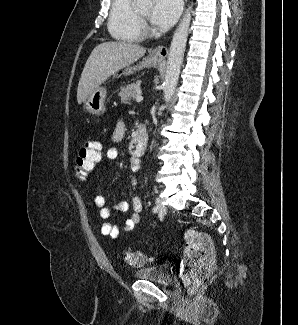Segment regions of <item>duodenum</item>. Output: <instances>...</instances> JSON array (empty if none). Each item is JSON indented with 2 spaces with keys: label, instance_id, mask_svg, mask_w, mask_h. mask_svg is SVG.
<instances>
[{
  "label": "duodenum",
  "instance_id": "duodenum-1",
  "mask_svg": "<svg viewBox=\"0 0 298 325\" xmlns=\"http://www.w3.org/2000/svg\"><path fill=\"white\" fill-rule=\"evenodd\" d=\"M148 142V133L144 126L140 125L136 130L135 134L132 137V140L129 144L130 153L139 157L142 156L145 152L146 146Z\"/></svg>",
  "mask_w": 298,
  "mask_h": 325
}]
</instances>
